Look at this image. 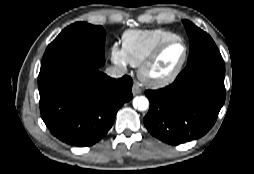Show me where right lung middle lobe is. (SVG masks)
<instances>
[{
  "label": "right lung middle lobe",
  "mask_w": 254,
  "mask_h": 174,
  "mask_svg": "<svg viewBox=\"0 0 254 174\" xmlns=\"http://www.w3.org/2000/svg\"><path fill=\"white\" fill-rule=\"evenodd\" d=\"M105 31L102 26L76 22L51 42L42 58L38 83L76 67H101L105 63Z\"/></svg>",
  "instance_id": "dd1d6c3e"
}]
</instances>
